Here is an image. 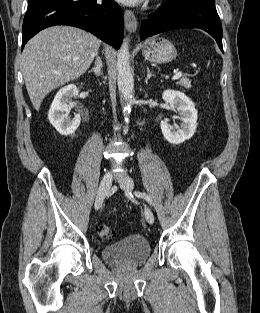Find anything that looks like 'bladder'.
Returning <instances> with one entry per match:
<instances>
[{
	"instance_id": "31cf9c89",
	"label": "bladder",
	"mask_w": 260,
	"mask_h": 313,
	"mask_svg": "<svg viewBox=\"0 0 260 313\" xmlns=\"http://www.w3.org/2000/svg\"><path fill=\"white\" fill-rule=\"evenodd\" d=\"M151 253L150 243L141 235H130L102 249V258L117 266H136Z\"/></svg>"
}]
</instances>
